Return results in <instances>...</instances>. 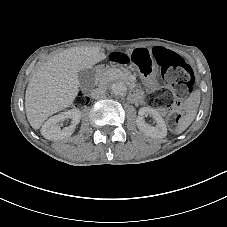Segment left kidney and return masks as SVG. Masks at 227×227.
<instances>
[{"label":"left kidney","mask_w":227,"mask_h":227,"mask_svg":"<svg viewBox=\"0 0 227 227\" xmlns=\"http://www.w3.org/2000/svg\"><path fill=\"white\" fill-rule=\"evenodd\" d=\"M147 115H150L155 123L149 126L145 122ZM138 128L146 135L154 138H164L167 135V126L160 114L152 107H141L138 110L136 119Z\"/></svg>","instance_id":"left-kidney-1"}]
</instances>
